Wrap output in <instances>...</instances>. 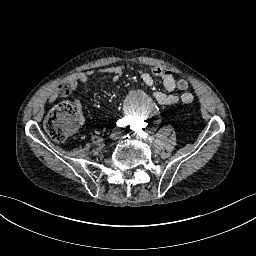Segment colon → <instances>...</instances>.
Here are the masks:
<instances>
[{"label": "colon", "instance_id": "1", "mask_svg": "<svg viewBox=\"0 0 256 256\" xmlns=\"http://www.w3.org/2000/svg\"><path fill=\"white\" fill-rule=\"evenodd\" d=\"M178 88L184 91L188 88V82L184 78L178 81ZM73 86L71 83H62L58 87L60 95L72 93ZM75 128L74 107L70 102H61L57 104L44 122V129L48 136L57 141L63 142L69 138Z\"/></svg>", "mask_w": 256, "mask_h": 256}]
</instances>
